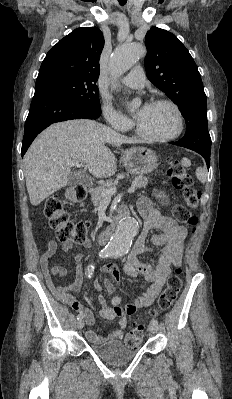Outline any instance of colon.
Returning a JSON list of instances; mask_svg holds the SVG:
<instances>
[{"label":"colon","instance_id":"5ec220e1","mask_svg":"<svg viewBox=\"0 0 232 399\" xmlns=\"http://www.w3.org/2000/svg\"><path fill=\"white\" fill-rule=\"evenodd\" d=\"M164 168L171 173L172 177L179 181V186L183 188L184 203H176L175 218L180 223H185L186 230H195L198 226V217H190L196 209L203 205L201 191H198L196 179L189 175L185 168H193V163L189 160H176L173 156H168L164 160ZM43 216L50 219L52 231H57L59 239L71 238L76 244H86L87 227L90 222H75L71 224V218L62 210V204L59 199L50 197L43 204ZM185 243H190V238H185ZM184 272V267L180 263H175L170 270L175 276H168V284L164 292L152 304L148 311V316L152 320H157L163 312H168L172 308V301L177 297L181 289L179 277ZM146 322H133L131 331L126 335L123 347H137V343L144 337Z\"/></svg>","mask_w":232,"mask_h":399}]
</instances>
